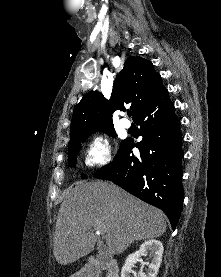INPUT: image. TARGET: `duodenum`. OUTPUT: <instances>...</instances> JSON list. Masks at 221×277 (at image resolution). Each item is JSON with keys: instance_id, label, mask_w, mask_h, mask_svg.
<instances>
[{"instance_id": "duodenum-1", "label": "duodenum", "mask_w": 221, "mask_h": 277, "mask_svg": "<svg viewBox=\"0 0 221 277\" xmlns=\"http://www.w3.org/2000/svg\"><path fill=\"white\" fill-rule=\"evenodd\" d=\"M102 270L106 271V277H119V266L114 259L105 262L90 260L82 271L81 277H99Z\"/></svg>"}]
</instances>
